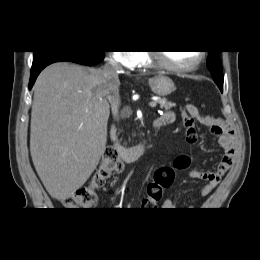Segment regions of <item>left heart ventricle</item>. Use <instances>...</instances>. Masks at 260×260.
I'll return each instance as SVG.
<instances>
[{"instance_id": "1", "label": "left heart ventricle", "mask_w": 260, "mask_h": 260, "mask_svg": "<svg viewBox=\"0 0 260 260\" xmlns=\"http://www.w3.org/2000/svg\"><path fill=\"white\" fill-rule=\"evenodd\" d=\"M163 57L174 65H189L198 58L197 51H169L163 52Z\"/></svg>"}]
</instances>
